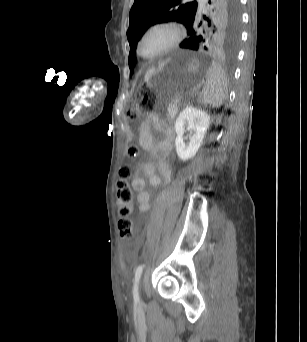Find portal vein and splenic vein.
<instances>
[{"label": "portal vein and splenic vein", "instance_id": "18ae733b", "mask_svg": "<svg viewBox=\"0 0 307 342\" xmlns=\"http://www.w3.org/2000/svg\"><path fill=\"white\" fill-rule=\"evenodd\" d=\"M194 92L196 91L195 89L193 90ZM186 95L184 96V98L182 99L183 101H181L180 102V106H184V105H187L188 103H187V101H191L192 99V95L194 94L192 91H187L186 93H185Z\"/></svg>", "mask_w": 307, "mask_h": 342}]
</instances>
